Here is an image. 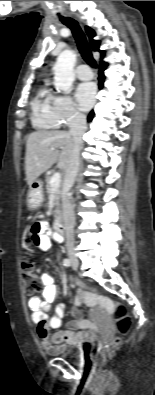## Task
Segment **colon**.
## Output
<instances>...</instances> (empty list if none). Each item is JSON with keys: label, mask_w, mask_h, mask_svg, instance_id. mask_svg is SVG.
Wrapping results in <instances>:
<instances>
[{"label": "colon", "mask_w": 155, "mask_h": 395, "mask_svg": "<svg viewBox=\"0 0 155 395\" xmlns=\"http://www.w3.org/2000/svg\"><path fill=\"white\" fill-rule=\"evenodd\" d=\"M22 282L24 289L27 294H35L42 289V282L38 276L35 263L30 259V251H27V258L22 265ZM75 285H80L82 280L80 278H75L73 280ZM86 286V283H83ZM97 292V289H94ZM115 321L116 327L120 334H126L131 327V319L128 310L125 306L117 304L115 306ZM120 339L118 337L110 341H104L98 348V355L101 360H105L111 353L112 349L119 343Z\"/></svg>", "instance_id": "obj_1"}]
</instances>
